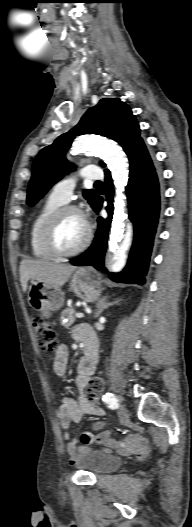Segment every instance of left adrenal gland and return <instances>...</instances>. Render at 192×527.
Returning a JSON list of instances; mask_svg holds the SVG:
<instances>
[{"instance_id":"1","label":"left adrenal gland","mask_w":192,"mask_h":527,"mask_svg":"<svg viewBox=\"0 0 192 527\" xmlns=\"http://www.w3.org/2000/svg\"><path fill=\"white\" fill-rule=\"evenodd\" d=\"M106 300H107V297H103L102 299H100L97 302V304H96L97 312L95 314V318L99 317V315H101V313L104 311V309H107L108 307H110V306H112V305H114V304L119 302V300L113 301V302H107Z\"/></svg>"}]
</instances>
